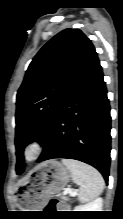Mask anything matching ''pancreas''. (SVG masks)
Instances as JSON below:
<instances>
[{"label":"pancreas","instance_id":"cf45deb5","mask_svg":"<svg viewBox=\"0 0 123 219\" xmlns=\"http://www.w3.org/2000/svg\"><path fill=\"white\" fill-rule=\"evenodd\" d=\"M60 198L63 199V200H65V201H68V200H69V198H68L67 196H61Z\"/></svg>","mask_w":123,"mask_h":219}]
</instances>
